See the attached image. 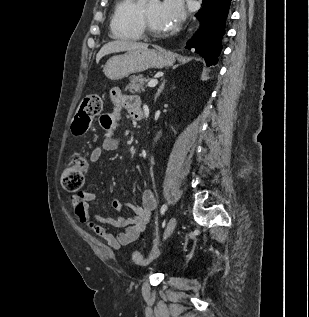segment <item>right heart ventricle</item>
<instances>
[{"label":"right heart ventricle","instance_id":"right-heart-ventricle-1","mask_svg":"<svg viewBox=\"0 0 309 317\" xmlns=\"http://www.w3.org/2000/svg\"><path fill=\"white\" fill-rule=\"evenodd\" d=\"M139 0H119L114 8L110 28L115 38L139 40L143 37L140 25Z\"/></svg>","mask_w":309,"mask_h":317}]
</instances>
